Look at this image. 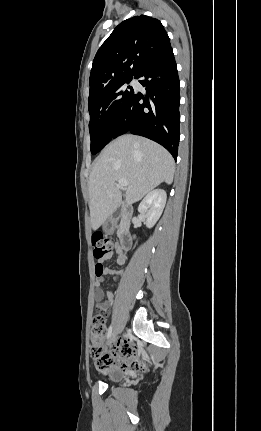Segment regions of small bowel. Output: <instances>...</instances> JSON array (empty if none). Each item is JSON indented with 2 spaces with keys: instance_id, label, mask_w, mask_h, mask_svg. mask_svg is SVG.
Masks as SVG:
<instances>
[{
  "instance_id": "small-bowel-1",
  "label": "small bowel",
  "mask_w": 261,
  "mask_h": 431,
  "mask_svg": "<svg viewBox=\"0 0 261 431\" xmlns=\"http://www.w3.org/2000/svg\"><path fill=\"white\" fill-rule=\"evenodd\" d=\"M115 252L117 254V263L119 265H123L126 263L127 257L126 254L124 253V251L121 249V247L118 244H115L113 246V249L111 251V253L106 257V258H110L112 256V253ZM122 274V271L120 270H114V269H110L107 267H103V272L101 275H96V280H95V287H96V291H95V298L97 300V309L99 311H101L103 314V317H108V312L110 310V306L111 303L114 299V294L111 291H108L106 293H104V291L101 289V284L103 281V276L105 275H117L120 276ZM104 297H106V300H104ZM122 344V342H118L116 344V346Z\"/></svg>"
}]
</instances>
